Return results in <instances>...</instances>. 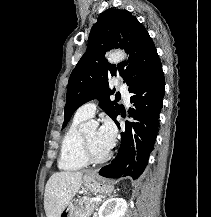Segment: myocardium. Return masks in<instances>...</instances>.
Wrapping results in <instances>:
<instances>
[{
	"label": "myocardium",
	"mask_w": 211,
	"mask_h": 217,
	"mask_svg": "<svg viewBox=\"0 0 211 217\" xmlns=\"http://www.w3.org/2000/svg\"><path fill=\"white\" fill-rule=\"evenodd\" d=\"M81 152L87 163L90 164H101L108 161L112 155L111 151L108 150L104 155H95L89 145L85 132L81 135Z\"/></svg>",
	"instance_id": "f54148a6"
}]
</instances>
